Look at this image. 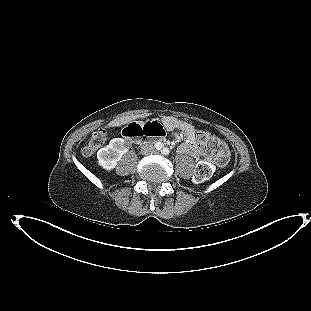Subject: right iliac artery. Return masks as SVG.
Here are the masks:
<instances>
[{
    "instance_id": "1",
    "label": "right iliac artery",
    "mask_w": 311,
    "mask_h": 311,
    "mask_svg": "<svg viewBox=\"0 0 311 311\" xmlns=\"http://www.w3.org/2000/svg\"><path fill=\"white\" fill-rule=\"evenodd\" d=\"M162 147H163V144H162L161 142H157V143L155 144V148H156L157 150H161Z\"/></svg>"
}]
</instances>
